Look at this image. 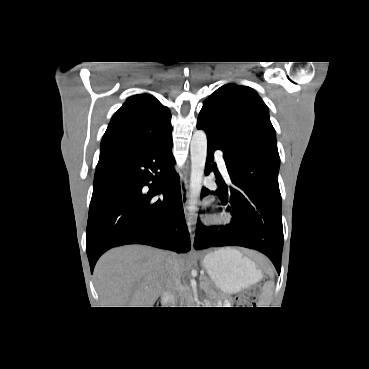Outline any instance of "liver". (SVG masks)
<instances>
[{
  "label": "liver",
  "mask_w": 369,
  "mask_h": 369,
  "mask_svg": "<svg viewBox=\"0 0 369 369\" xmlns=\"http://www.w3.org/2000/svg\"><path fill=\"white\" fill-rule=\"evenodd\" d=\"M168 257L180 280L186 267L180 255L140 245L105 253L94 269L102 307H152L166 286Z\"/></svg>",
  "instance_id": "obj_1"
}]
</instances>
